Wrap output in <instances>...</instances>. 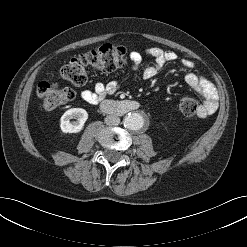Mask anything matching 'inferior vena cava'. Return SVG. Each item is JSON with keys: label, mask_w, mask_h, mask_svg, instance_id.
Masks as SVG:
<instances>
[{"label": "inferior vena cava", "mask_w": 247, "mask_h": 247, "mask_svg": "<svg viewBox=\"0 0 247 247\" xmlns=\"http://www.w3.org/2000/svg\"><path fill=\"white\" fill-rule=\"evenodd\" d=\"M105 123L109 126H116L120 123V118L116 115H108L105 118Z\"/></svg>", "instance_id": "inferior-vena-cava-1"}]
</instances>
